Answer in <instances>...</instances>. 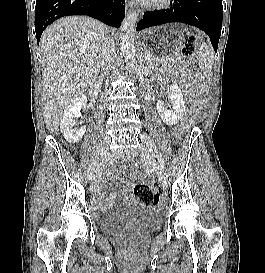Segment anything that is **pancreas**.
<instances>
[{
    "mask_svg": "<svg viewBox=\"0 0 265 273\" xmlns=\"http://www.w3.org/2000/svg\"><path fill=\"white\" fill-rule=\"evenodd\" d=\"M146 63L149 66H152L155 63H160L162 65H169V64L175 63V61L173 59L168 58V57H164L163 59H159V58L151 56V59H148L146 61Z\"/></svg>",
    "mask_w": 265,
    "mask_h": 273,
    "instance_id": "cf45deb5",
    "label": "pancreas"
}]
</instances>
